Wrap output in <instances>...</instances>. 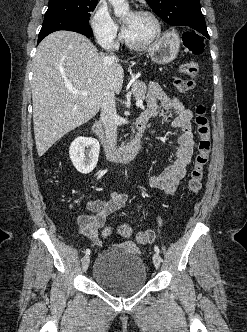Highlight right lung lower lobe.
Instances as JSON below:
<instances>
[{"label":"right lung lower lobe","instance_id":"1","mask_svg":"<svg viewBox=\"0 0 247 332\" xmlns=\"http://www.w3.org/2000/svg\"><path fill=\"white\" fill-rule=\"evenodd\" d=\"M59 30L74 31L88 37L93 36L88 21H85L78 17L53 16L44 18L42 28L38 36V43L42 41L43 38H45L51 32Z\"/></svg>","mask_w":247,"mask_h":332}]
</instances>
